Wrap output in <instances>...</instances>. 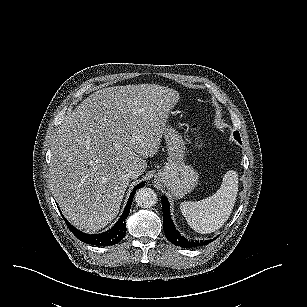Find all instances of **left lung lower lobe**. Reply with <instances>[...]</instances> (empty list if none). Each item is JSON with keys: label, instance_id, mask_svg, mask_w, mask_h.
<instances>
[{"label": "left lung lower lobe", "instance_id": "1", "mask_svg": "<svg viewBox=\"0 0 307 307\" xmlns=\"http://www.w3.org/2000/svg\"><path fill=\"white\" fill-rule=\"evenodd\" d=\"M162 208H163V223H164V233L166 238L176 246H180L182 248H192L202 245H207L214 241L216 238L212 240L205 241H187L180 233L176 230L170 216V207L168 199L165 196H162Z\"/></svg>", "mask_w": 307, "mask_h": 307}]
</instances>
